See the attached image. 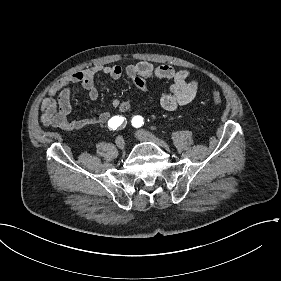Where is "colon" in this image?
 <instances>
[{"label": "colon", "instance_id": "obj_1", "mask_svg": "<svg viewBox=\"0 0 281 281\" xmlns=\"http://www.w3.org/2000/svg\"><path fill=\"white\" fill-rule=\"evenodd\" d=\"M211 100L215 104H221L223 102V96L220 93H214L211 96Z\"/></svg>", "mask_w": 281, "mask_h": 281}]
</instances>
